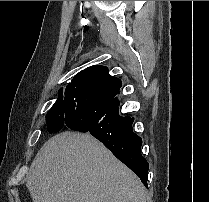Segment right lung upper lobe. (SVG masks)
<instances>
[{
	"instance_id": "obj_1",
	"label": "right lung upper lobe",
	"mask_w": 209,
	"mask_h": 202,
	"mask_svg": "<svg viewBox=\"0 0 209 202\" xmlns=\"http://www.w3.org/2000/svg\"><path fill=\"white\" fill-rule=\"evenodd\" d=\"M105 74H108V69L105 66L94 65L80 71L77 75H89L92 79H97ZM75 77V76H74Z\"/></svg>"
}]
</instances>
